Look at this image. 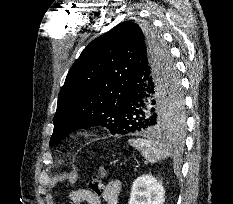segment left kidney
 I'll use <instances>...</instances> for the list:
<instances>
[{
  "label": "left kidney",
  "instance_id": "1",
  "mask_svg": "<svg viewBox=\"0 0 233 204\" xmlns=\"http://www.w3.org/2000/svg\"><path fill=\"white\" fill-rule=\"evenodd\" d=\"M164 195L161 181L152 175H142L133 182L128 204H163Z\"/></svg>",
  "mask_w": 233,
  "mask_h": 204
}]
</instances>
